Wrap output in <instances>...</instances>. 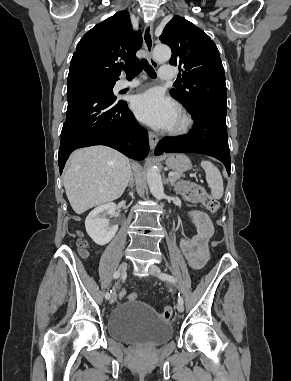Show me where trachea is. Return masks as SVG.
Wrapping results in <instances>:
<instances>
[{"mask_svg": "<svg viewBox=\"0 0 291 381\" xmlns=\"http://www.w3.org/2000/svg\"><path fill=\"white\" fill-rule=\"evenodd\" d=\"M143 68H145V71L150 78L155 79L157 77L153 67L149 65L145 59H143L142 62L131 65L126 64L122 67L128 78L136 77L143 70Z\"/></svg>", "mask_w": 291, "mask_h": 381, "instance_id": "1", "label": "trachea"}]
</instances>
